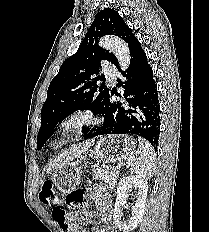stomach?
I'll list each match as a JSON object with an SVG mask.
<instances>
[{
  "mask_svg": "<svg viewBox=\"0 0 209 232\" xmlns=\"http://www.w3.org/2000/svg\"><path fill=\"white\" fill-rule=\"evenodd\" d=\"M135 143L128 135H108L101 137L90 149L93 158L103 162H116L128 158L134 151ZM81 167L78 162H69L56 169L52 181L63 193L76 189L81 180Z\"/></svg>",
  "mask_w": 209,
  "mask_h": 232,
  "instance_id": "stomach-1",
  "label": "stomach"
}]
</instances>
